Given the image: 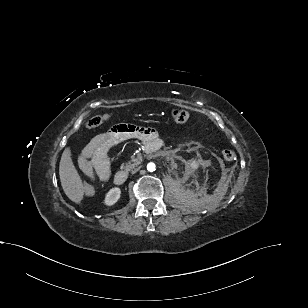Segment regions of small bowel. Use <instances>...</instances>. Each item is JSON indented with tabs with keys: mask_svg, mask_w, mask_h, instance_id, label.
I'll return each instance as SVG.
<instances>
[{
	"mask_svg": "<svg viewBox=\"0 0 308 308\" xmlns=\"http://www.w3.org/2000/svg\"><path fill=\"white\" fill-rule=\"evenodd\" d=\"M132 138L147 143L158 139V134L155 129L149 127L132 124L115 125L108 131L96 135L85 146L79 157L80 168L90 177L100 181L108 180L111 175L109 150L117 143Z\"/></svg>",
	"mask_w": 308,
	"mask_h": 308,
	"instance_id": "small-bowel-1",
	"label": "small bowel"
}]
</instances>
